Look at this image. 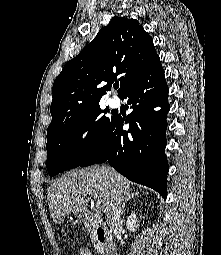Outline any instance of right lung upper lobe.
I'll return each instance as SVG.
<instances>
[{
	"mask_svg": "<svg viewBox=\"0 0 221 255\" xmlns=\"http://www.w3.org/2000/svg\"><path fill=\"white\" fill-rule=\"evenodd\" d=\"M156 58L151 36L136 19L114 16L54 81L47 133L71 114L99 103L117 75H121V97Z\"/></svg>",
	"mask_w": 221,
	"mask_h": 255,
	"instance_id": "obj_1",
	"label": "right lung upper lobe"
}]
</instances>
